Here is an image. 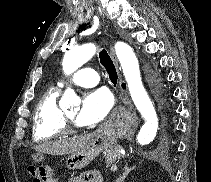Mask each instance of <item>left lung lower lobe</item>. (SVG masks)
Instances as JSON below:
<instances>
[{
    "label": "left lung lower lobe",
    "instance_id": "0a47b994",
    "mask_svg": "<svg viewBox=\"0 0 211 182\" xmlns=\"http://www.w3.org/2000/svg\"><path fill=\"white\" fill-rule=\"evenodd\" d=\"M122 87L125 89V84H122Z\"/></svg>",
    "mask_w": 211,
    "mask_h": 182
}]
</instances>
